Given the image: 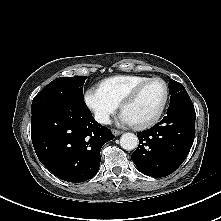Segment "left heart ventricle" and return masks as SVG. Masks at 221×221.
I'll return each mask as SVG.
<instances>
[{
	"instance_id": "b2bd125f",
	"label": "left heart ventricle",
	"mask_w": 221,
	"mask_h": 221,
	"mask_svg": "<svg viewBox=\"0 0 221 221\" xmlns=\"http://www.w3.org/2000/svg\"><path fill=\"white\" fill-rule=\"evenodd\" d=\"M165 97V88L160 82H153L142 89L137 99L124 112L135 122H143L154 117Z\"/></svg>"
}]
</instances>
